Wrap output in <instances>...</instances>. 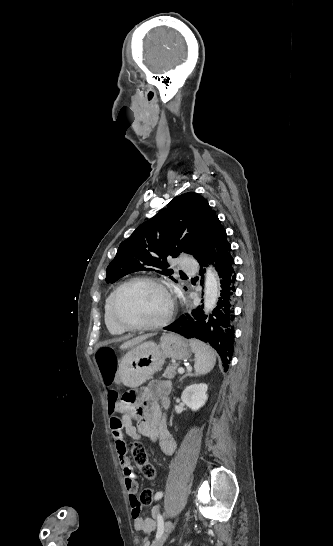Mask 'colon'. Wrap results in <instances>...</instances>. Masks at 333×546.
<instances>
[{"instance_id":"5ec220e1","label":"colon","mask_w":333,"mask_h":546,"mask_svg":"<svg viewBox=\"0 0 333 546\" xmlns=\"http://www.w3.org/2000/svg\"><path fill=\"white\" fill-rule=\"evenodd\" d=\"M96 363L104 380L107 383H111L114 379V375L112 373L116 371V360L113 350L110 348L99 349L96 352ZM109 400L112 403L116 402L117 394L114 392H110ZM122 402L126 406H134L137 402L136 393L133 391L126 393L122 397ZM131 452L134 461L141 473L147 478L154 477L156 475V470L149 461L148 454L144 445L138 441H134L131 445ZM154 499V491L152 489H145L140 493L138 502L142 506H150L154 503Z\"/></svg>"}]
</instances>
